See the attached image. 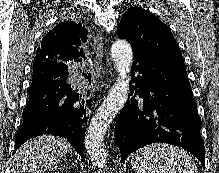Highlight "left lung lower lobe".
<instances>
[{"mask_svg":"<svg viewBox=\"0 0 219 173\" xmlns=\"http://www.w3.org/2000/svg\"><path fill=\"white\" fill-rule=\"evenodd\" d=\"M131 74L130 98L115 126L122 160L142 146L163 142L186 149L204 166L201 120L184 62L134 53Z\"/></svg>","mask_w":219,"mask_h":173,"instance_id":"left-lung-lower-lobe-1","label":"left lung lower lobe"}]
</instances>
